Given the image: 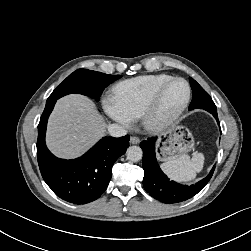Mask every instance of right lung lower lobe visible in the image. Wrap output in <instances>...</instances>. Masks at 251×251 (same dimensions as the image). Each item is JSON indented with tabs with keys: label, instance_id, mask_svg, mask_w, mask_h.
Here are the masks:
<instances>
[{
	"label": "right lung lower lobe",
	"instance_id": "98d812e1",
	"mask_svg": "<svg viewBox=\"0 0 251 251\" xmlns=\"http://www.w3.org/2000/svg\"><path fill=\"white\" fill-rule=\"evenodd\" d=\"M55 103L46 102L38 125L37 159L42 177L61 199L74 204L92 202L106 190L112 166L125 153L130 137H104L77 159H59L45 144L47 120Z\"/></svg>",
	"mask_w": 251,
	"mask_h": 251
}]
</instances>
